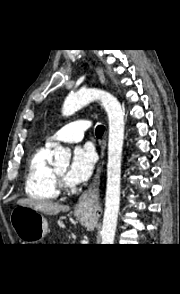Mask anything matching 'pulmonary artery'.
I'll use <instances>...</instances> for the list:
<instances>
[{"label": "pulmonary artery", "mask_w": 180, "mask_h": 294, "mask_svg": "<svg viewBox=\"0 0 180 294\" xmlns=\"http://www.w3.org/2000/svg\"><path fill=\"white\" fill-rule=\"evenodd\" d=\"M90 127L88 120L82 119L62 126L47 141V145L54 146L61 142H79L83 139L85 131Z\"/></svg>", "instance_id": "e3ab8cb5"}]
</instances>
